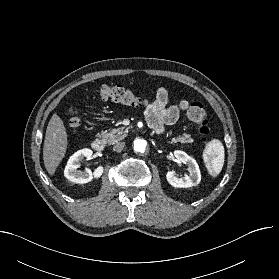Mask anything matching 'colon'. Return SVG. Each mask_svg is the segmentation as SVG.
<instances>
[{"instance_id":"obj_1","label":"colon","mask_w":279,"mask_h":279,"mask_svg":"<svg viewBox=\"0 0 279 279\" xmlns=\"http://www.w3.org/2000/svg\"><path fill=\"white\" fill-rule=\"evenodd\" d=\"M98 97L101 100H110L127 106H140L145 103L142 98L138 97L131 90L122 85H103L98 89ZM71 115L70 125L72 127H78L80 124L79 118L75 115V112H72ZM187 117L198 124L200 139L206 141L210 133V127L202 104L199 102H193L188 108Z\"/></svg>"}]
</instances>
